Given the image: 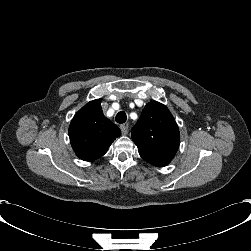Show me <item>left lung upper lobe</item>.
Returning a JSON list of instances; mask_svg holds the SVG:
<instances>
[{
    "instance_id": "obj_1",
    "label": "left lung upper lobe",
    "mask_w": 251,
    "mask_h": 251,
    "mask_svg": "<svg viewBox=\"0 0 251 251\" xmlns=\"http://www.w3.org/2000/svg\"><path fill=\"white\" fill-rule=\"evenodd\" d=\"M131 132L140 156L151 165H168L178 150V126L168 108L159 102L146 104Z\"/></svg>"
}]
</instances>
